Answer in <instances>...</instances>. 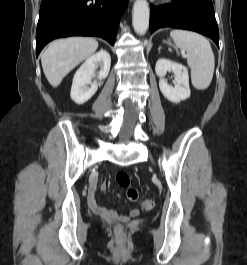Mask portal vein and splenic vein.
I'll return each instance as SVG.
<instances>
[{
    "label": "portal vein and splenic vein",
    "mask_w": 247,
    "mask_h": 265,
    "mask_svg": "<svg viewBox=\"0 0 247 265\" xmlns=\"http://www.w3.org/2000/svg\"><path fill=\"white\" fill-rule=\"evenodd\" d=\"M183 57H186V55H185V54H183Z\"/></svg>",
    "instance_id": "1"
}]
</instances>
